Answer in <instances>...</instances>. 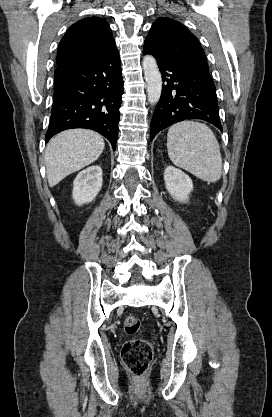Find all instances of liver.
Here are the masks:
<instances>
[{
    "label": "liver",
    "mask_w": 272,
    "mask_h": 417,
    "mask_svg": "<svg viewBox=\"0 0 272 417\" xmlns=\"http://www.w3.org/2000/svg\"><path fill=\"white\" fill-rule=\"evenodd\" d=\"M104 146L103 138L87 129H71L53 137L45 151L49 186L96 161Z\"/></svg>",
    "instance_id": "liver-1"
}]
</instances>
